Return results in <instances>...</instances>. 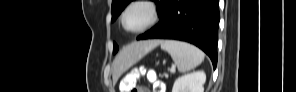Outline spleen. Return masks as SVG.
<instances>
[{
  "mask_svg": "<svg viewBox=\"0 0 296 92\" xmlns=\"http://www.w3.org/2000/svg\"><path fill=\"white\" fill-rule=\"evenodd\" d=\"M161 49L171 55L180 72L189 71L204 60V53L189 43L165 40L161 42Z\"/></svg>",
  "mask_w": 296,
  "mask_h": 92,
  "instance_id": "obj_1",
  "label": "spleen"
}]
</instances>
